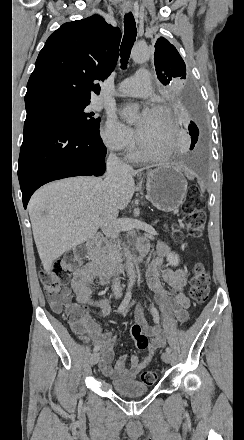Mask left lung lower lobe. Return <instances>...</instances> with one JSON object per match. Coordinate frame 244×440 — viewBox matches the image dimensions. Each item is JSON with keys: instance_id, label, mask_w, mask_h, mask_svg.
I'll list each match as a JSON object with an SVG mask.
<instances>
[{"instance_id": "0a47b994", "label": "left lung lower lobe", "mask_w": 244, "mask_h": 440, "mask_svg": "<svg viewBox=\"0 0 244 440\" xmlns=\"http://www.w3.org/2000/svg\"><path fill=\"white\" fill-rule=\"evenodd\" d=\"M180 103L183 113L188 120V131L191 135L190 150H192L195 147L199 136V129L197 127L200 117L198 103L192 92H186Z\"/></svg>"}]
</instances>
